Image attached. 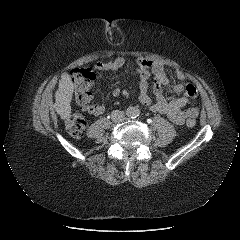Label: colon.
Returning a JSON list of instances; mask_svg holds the SVG:
<instances>
[{
  "label": "colon",
  "instance_id": "5ec220e1",
  "mask_svg": "<svg viewBox=\"0 0 240 240\" xmlns=\"http://www.w3.org/2000/svg\"><path fill=\"white\" fill-rule=\"evenodd\" d=\"M71 77L74 85L76 104L80 107H87L91 101L90 87L95 80V73L89 68L77 67L71 71ZM195 124V118H188L186 120L188 127H194ZM86 125V119L79 113L70 115L66 120L68 133L76 139L83 137Z\"/></svg>",
  "mask_w": 240,
  "mask_h": 240
}]
</instances>
